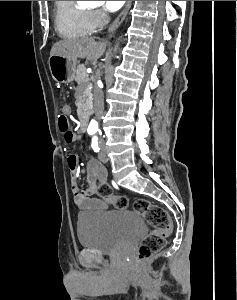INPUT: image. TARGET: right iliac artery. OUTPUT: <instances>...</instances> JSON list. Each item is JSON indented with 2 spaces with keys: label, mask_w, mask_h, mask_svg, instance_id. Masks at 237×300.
I'll use <instances>...</instances> for the list:
<instances>
[{
  "label": "right iliac artery",
  "mask_w": 237,
  "mask_h": 300,
  "mask_svg": "<svg viewBox=\"0 0 237 300\" xmlns=\"http://www.w3.org/2000/svg\"><path fill=\"white\" fill-rule=\"evenodd\" d=\"M88 134L92 135V134H94V132L93 131H88Z\"/></svg>",
  "instance_id": "obj_1"
}]
</instances>
